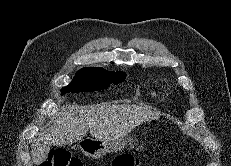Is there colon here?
<instances>
[{
    "label": "colon",
    "instance_id": "colon-1",
    "mask_svg": "<svg viewBox=\"0 0 231 166\" xmlns=\"http://www.w3.org/2000/svg\"><path fill=\"white\" fill-rule=\"evenodd\" d=\"M138 164L137 158L123 154L114 159L112 166H138ZM40 166H81V164L78 159L71 156L69 151L57 148L50 152L48 159Z\"/></svg>",
    "mask_w": 231,
    "mask_h": 166
}]
</instances>
